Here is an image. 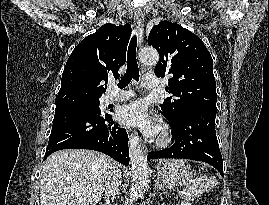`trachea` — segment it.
Segmentation results:
<instances>
[{"label": "trachea", "mask_w": 269, "mask_h": 205, "mask_svg": "<svg viewBox=\"0 0 269 205\" xmlns=\"http://www.w3.org/2000/svg\"><path fill=\"white\" fill-rule=\"evenodd\" d=\"M137 38L134 35L130 41L127 53V70L118 83L120 89L125 88L132 79L139 80V68L136 60Z\"/></svg>", "instance_id": "3493384b"}]
</instances>
